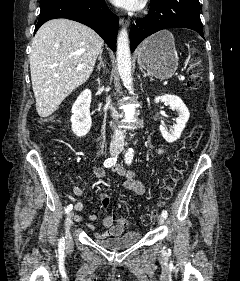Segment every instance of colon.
<instances>
[{
  "label": "colon",
  "mask_w": 240,
  "mask_h": 281,
  "mask_svg": "<svg viewBox=\"0 0 240 281\" xmlns=\"http://www.w3.org/2000/svg\"><path fill=\"white\" fill-rule=\"evenodd\" d=\"M187 85L190 89L196 90L201 85L200 67L197 59H193L188 68ZM203 136V128L195 126L191 132L184 138L182 146L178 149L173 160L172 167L169 170L168 176L162 190V203L169 200L173 194L179 181L182 179L189 161L192 158L193 152ZM156 215V211L147 214L143 218V223L151 224ZM113 218L123 227L129 225V211L124 202L118 201L113 207Z\"/></svg>",
  "instance_id": "1"
}]
</instances>
